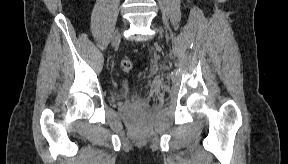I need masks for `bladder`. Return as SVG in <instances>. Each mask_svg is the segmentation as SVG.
<instances>
[{
  "mask_svg": "<svg viewBox=\"0 0 288 164\" xmlns=\"http://www.w3.org/2000/svg\"><path fill=\"white\" fill-rule=\"evenodd\" d=\"M118 97L121 99H130L131 91L128 83L126 81H122L119 85L118 89Z\"/></svg>",
  "mask_w": 288,
  "mask_h": 164,
  "instance_id": "bladder-1",
  "label": "bladder"
}]
</instances>
